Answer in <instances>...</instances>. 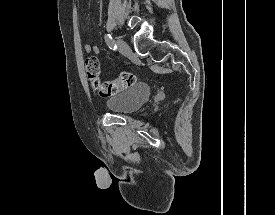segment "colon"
<instances>
[{
	"instance_id": "5ec220e1",
	"label": "colon",
	"mask_w": 275,
	"mask_h": 215,
	"mask_svg": "<svg viewBox=\"0 0 275 215\" xmlns=\"http://www.w3.org/2000/svg\"><path fill=\"white\" fill-rule=\"evenodd\" d=\"M85 69L91 87L100 97H110L133 86L136 82V76L132 72L124 71L116 79L111 81H102L99 78L100 65L96 57H88L85 61Z\"/></svg>"
}]
</instances>
